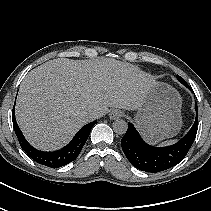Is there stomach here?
Segmentation results:
<instances>
[{
  "label": "stomach",
  "instance_id": "stomach-1",
  "mask_svg": "<svg viewBox=\"0 0 211 211\" xmlns=\"http://www.w3.org/2000/svg\"><path fill=\"white\" fill-rule=\"evenodd\" d=\"M182 99L169 84L156 82L135 115V123L143 137L158 143L178 134L182 126Z\"/></svg>",
  "mask_w": 211,
  "mask_h": 211
}]
</instances>
